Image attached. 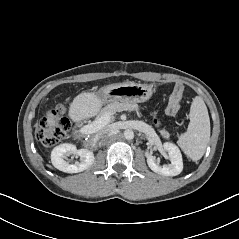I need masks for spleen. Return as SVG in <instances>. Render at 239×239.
I'll use <instances>...</instances> for the list:
<instances>
[{
  "instance_id": "spleen-1",
  "label": "spleen",
  "mask_w": 239,
  "mask_h": 239,
  "mask_svg": "<svg viewBox=\"0 0 239 239\" xmlns=\"http://www.w3.org/2000/svg\"><path fill=\"white\" fill-rule=\"evenodd\" d=\"M188 129L178 140V144L188 158L200 160L210 139V119L202 97L193 98L190 108Z\"/></svg>"
}]
</instances>
